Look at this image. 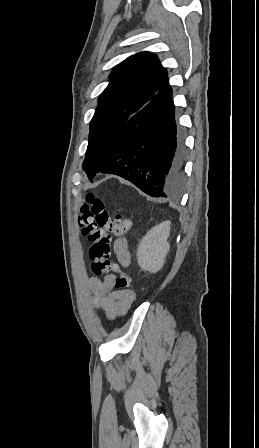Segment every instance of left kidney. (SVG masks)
Returning a JSON list of instances; mask_svg holds the SVG:
<instances>
[{
    "label": "left kidney",
    "mask_w": 259,
    "mask_h": 448,
    "mask_svg": "<svg viewBox=\"0 0 259 448\" xmlns=\"http://www.w3.org/2000/svg\"><path fill=\"white\" fill-rule=\"evenodd\" d=\"M171 222H162L154 226L150 232L144 236L137 252V260L140 268L145 272H159L165 258L169 252L167 238L170 236Z\"/></svg>",
    "instance_id": "left-kidney-1"
}]
</instances>
